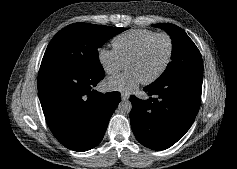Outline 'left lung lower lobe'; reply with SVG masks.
I'll return each mask as SVG.
<instances>
[{"instance_id":"left-lung-lower-lobe-1","label":"left lung lower lobe","mask_w":237,"mask_h":169,"mask_svg":"<svg viewBox=\"0 0 237 169\" xmlns=\"http://www.w3.org/2000/svg\"><path fill=\"white\" fill-rule=\"evenodd\" d=\"M203 72L152 83L148 100L130 97L131 127L136 139L154 150L175 144L191 127L201 102Z\"/></svg>"}]
</instances>
